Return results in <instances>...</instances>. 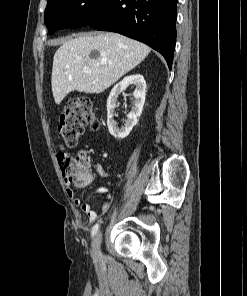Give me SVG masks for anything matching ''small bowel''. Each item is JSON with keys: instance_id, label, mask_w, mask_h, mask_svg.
Instances as JSON below:
<instances>
[{"instance_id": "obj_1", "label": "small bowel", "mask_w": 247, "mask_h": 296, "mask_svg": "<svg viewBox=\"0 0 247 296\" xmlns=\"http://www.w3.org/2000/svg\"><path fill=\"white\" fill-rule=\"evenodd\" d=\"M98 173L105 178H115L118 182L121 180V176L119 174L107 173L100 166H98ZM66 192L74 205H81L82 211L87 215L90 221L96 220L98 211L104 212L108 208L111 201V193L105 186H99L97 189V193L101 197V202L98 209H94L89 203H82L80 197L76 195L75 191L71 187H67Z\"/></svg>"}]
</instances>
